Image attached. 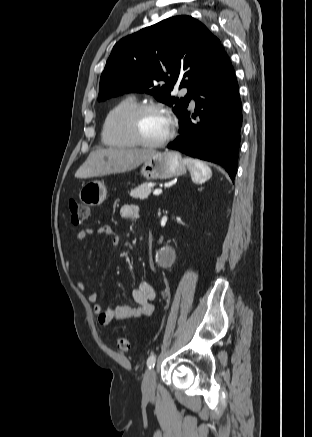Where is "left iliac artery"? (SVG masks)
Listing matches in <instances>:
<instances>
[{
  "mask_svg": "<svg viewBox=\"0 0 312 437\" xmlns=\"http://www.w3.org/2000/svg\"><path fill=\"white\" fill-rule=\"evenodd\" d=\"M155 362H156V355L155 354H151L149 356V358L147 359V367H148L149 370L154 368Z\"/></svg>",
  "mask_w": 312,
  "mask_h": 437,
  "instance_id": "left-iliac-artery-1",
  "label": "left iliac artery"
}]
</instances>
